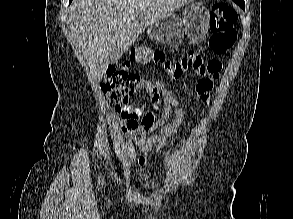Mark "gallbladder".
<instances>
[{
    "instance_id": "gallbladder-1",
    "label": "gallbladder",
    "mask_w": 293,
    "mask_h": 219,
    "mask_svg": "<svg viewBox=\"0 0 293 219\" xmlns=\"http://www.w3.org/2000/svg\"><path fill=\"white\" fill-rule=\"evenodd\" d=\"M121 55V53H119L117 50H112L110 53H109V58H110V64H114V60H113V57H119Z\"/></svg>"
}]
</instances>
